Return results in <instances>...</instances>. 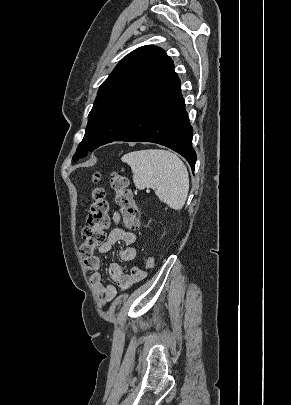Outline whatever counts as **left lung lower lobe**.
I'll return each instance as SVG.
<instances>
[{
  "instance_id": "obj_1",
  "label": "left lung lower lobe",
  "mask_w": 291,
  "mask_h": 405,
  "mask_svg": "<svg viewBox=\"0 0 291 405\" xmlns=\"http://www.w3.org/2000/svg\"><path fill=\"white\" fill-rule=\"evenodd\" d=\"M192 134L180 79L172 64L143 97L128 128L115 141L166 146L182 155L194 171L196 152L191 146Z\"/></svg>"
}]
</instances>
